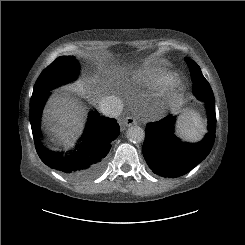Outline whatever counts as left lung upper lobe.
<instances>
[{
	"label": "left lung upper lobe",
	"instance_id": "5c2ea615",
	"mask_svg": "<svg viewBox=\"0 0 245 245\" xmlns=\"http://www.w3.org/2000/svg\"><path fill=\"white\" fill-rule=\"evenodd\" d=\"M193 82V93L197 98H208L213 93L208 81L202 75L200 67L192 60L185 58Z\"/></svg>",
	"mask_w": 245,
	"mask_h": 245
}]
</instances>
